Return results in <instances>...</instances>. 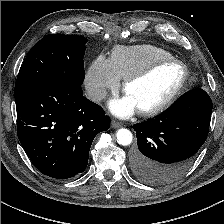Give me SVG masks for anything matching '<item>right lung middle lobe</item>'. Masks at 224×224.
Returning a JSON list of instances; mask_svg holds the SVG:
<instances>
[{"label": "right lung middle lobe", "mask_w": 224, "mask_h": 224, "mask_svg": "<svg viewBox=\"0 0 224 224\" xmlns=\"http://www.w3.org/2000/svg\"><path fill=\"white\" fill-rule=\"evenodd\" d=\"M87 39L50 34L37 42L25 58L15 84V101L28 91L48 84L80 87L84 81Z\"/></svg>", "instance_id": "obj_1"}]
</instances>
